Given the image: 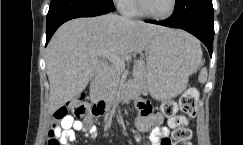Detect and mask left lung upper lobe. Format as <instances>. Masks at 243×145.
Here are the masks:
<instances>
[{"label":"left lung upper lobe","instance_id":"5c2ea615","mask_svg":"<svg viewBox=\"0 0 243 145\" xmlns=\"http://www.w3.org/2000/svg\"><path fill=\"white\" fill-rule=\"evenodd\" d=\"M174 11L198 27L214 28L212 0H176Z\"/></svg>","mask_w":243,"mask_h":145}]
</instances>
